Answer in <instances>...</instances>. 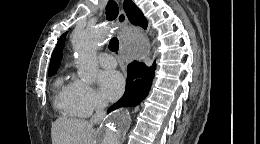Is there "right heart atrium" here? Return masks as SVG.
Masks as SVG:
<instances>
[{
	"mask_svg": "<svg viewBox=\"0 0 260 144\" xmlns=\"http://www.w3.org/2000/svg\"><path fill=\"white\" fill-rule=\"evenodd\" d=\"M73 97L82 116H89L93 111L104 106V101L98 92L91 85L80 80L73 81Z\"/></svg>",
	"mask_w": 260,
	"mask_h": 144,
	"instance_id": "obj_1",
	"label": "right heart atrium"
}]
</instances>
